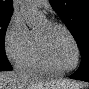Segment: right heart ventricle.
Returning <instances> with one entry per match:
<instances>
[{
    "instance_id": "e07e8e85",
    "label": "right heart ventricle",
    "mask_w": 89,
    "mask_h": 89,
    "mask_svg": "<svg viewBox=\"0 0 89 89\" xmlns=\"http://www.w3.org/2000/svg\"><path fill=\"white\" fill-rule=\"evenodd\" d=\"M18 67L29 74L41 75V76H59L55 74L45 64L38 48L35 32H32V44L29 52L24 58L18 63Z\"/></svg>"
}]
</instances>
